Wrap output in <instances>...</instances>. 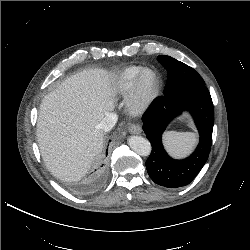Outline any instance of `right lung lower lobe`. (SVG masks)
Listing matches in <instances>:
<instances>
[{
	"label": "right lung lower lobe",
	"mask_w": 250,
	"mask_h": 250,
	"mask_svg": "<svg viewBox=\"0 0 250 250\" xmlns=\"http://www.w3.org/2000/svg\"><path fill=\"white\" fill-rule=\"evenodd\" d=\"M101 167L102 168L97 173L99 175V177H103V171H104L103 165Z\"/></svg>",
	"instance_id": "98d812e1"
}]
</instances>
